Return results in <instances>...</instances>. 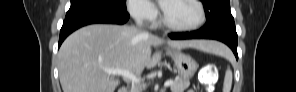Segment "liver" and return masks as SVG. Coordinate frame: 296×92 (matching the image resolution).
<instances>
[{"instance_id":"liver-1","label":"liver","mask_w":296,"mask_h":92,"mask_svg":"<svg viewBox=\"0 0 296 92\" xmlns=\"http://www.w3.org/2000/svg\"><path fill=\"white\" fill-rule=\"evenodd\" d=\"M164 40L127 25L94 24L72 33L60 47L59 78L63 92H115L118 75L104 69H125L140 76L153 68L161 54L152 55ZM170 47L195 48L214 53L216 42L205 40L167 41Z\"/></svg>"}]
</instances>
